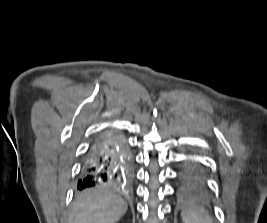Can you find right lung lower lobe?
I'll list each match as a JSON object with an SVG mask.
<instances>
[{
  "instance_id": "right-lung-lower-lobe-1",
  "label": "right lung lower lobe",
  "mask_w": 267,
  "mask_h": 223,
  "mask_svg": "<svg viewBox=\"0 0 267 223\" xmlns=\"http://www.w3.org/2000/svg\"><path fill=\"white\" fill-rule=\"evenodd\" d=\"M133 178L127 144L118 133L102 134L91 145L83 163L78 189L109 185L126 190Z\"/></svg>"
}]
</instances>
